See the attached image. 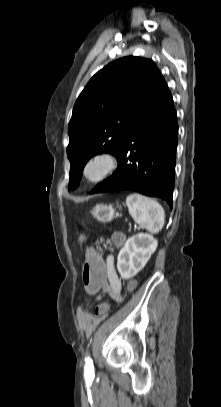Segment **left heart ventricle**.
Returning <instances> with one entry per match:
<instances>
[{
  "label": "left heart ventricle",
  "instance_id": "b2bd125f",
  "mask_svg": "<svg viewBox=\"0 0 221 407\" xmlns=\"http://www.w3.org/2000/svg\"><path fill=\"white\" fill-rule=\"evenodd\" d=\"M101 169H102V165H101V164H99V163L94 164V165H92V166L89 168L88 174H89V176H91V177H95V176H97V175L100 173Z\"/></svg>",
  "mask_w": 221,
  "mask_h": 407
}]
</instances>
